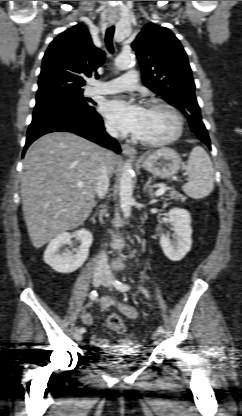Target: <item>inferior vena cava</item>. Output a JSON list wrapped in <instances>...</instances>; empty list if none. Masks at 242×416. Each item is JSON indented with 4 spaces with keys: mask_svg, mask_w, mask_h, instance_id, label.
Instances as JSON below:
<instances>
[{
    "mask_svg": "<svg viewBox=\"0 0 242 416\" xmlns=\"http://www.w3.org/2000/svg\"><path fill=\"white\" fill-rule=\"evenodd\" d=\"M106 131L114 138L119 136L118 131L109 124H106ZM106 157L107 153L105 154L104 160L100 166L96 185V194L101 199L105 197L109 187V166ZM96 270L109 272L108 258L104 251H102L98 257Z\"/></svg>",
    "mask_w": 242,
    "mask_h": 416,
    "instance_id": "602c4592",
    "label": "inferior vena cava"
}]
</instances>
